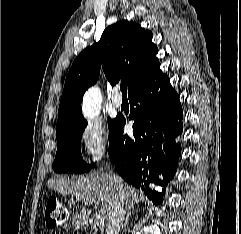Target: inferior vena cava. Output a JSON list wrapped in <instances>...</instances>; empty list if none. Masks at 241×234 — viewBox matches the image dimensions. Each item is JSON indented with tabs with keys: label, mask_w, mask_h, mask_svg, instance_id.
<instances>
[{
	"label": "inferior vena cava",
	"mask_w": 241,
	"mask_h": 234,
	"mask_svg": "<svg viewBox=\"0 0 241 234\" xmlns=\"http://www.w3.org/2000/svg\"><path fill=\"white\" fill-rule=\"evenodd\" d=\"M112 178L116 184L120 200L115 202L113 211L110 213L106 234H119L128 206L124 200L125 190L122 181L116 174H112Z\"/></svg>",
	"instance_id": "obj_1"
}]
</instances>
